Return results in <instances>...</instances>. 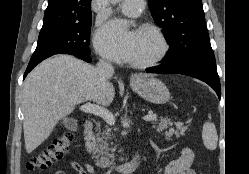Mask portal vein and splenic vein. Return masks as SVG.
I'll return each instance as SVG.
<instances>
[{"instance_id": "portal-vein-and-splenic-vein-1", "label": "portal vein and splenic vein", "mask_w": 249, "mask_h": 174, "mask_svg": "<svg viewBox=\"0 0 249 174\" xmlns=\"http://www.w3.org/2000/svg\"><path fill=\"white\" fill-rule=\"evenodd\" d=\"M80 110L85 112V113H89V114H93V115H97L99 117H102L106 123H108L109 125H114L115 124V117L114 115L106 108L101 107L99 105H95L92 103H85L84 105H82L80 107ZM157 117L156 114L153 113H149L148 115L144 116V120L145 121H153L155 120Z\"/></svg>"}]
</instances>
